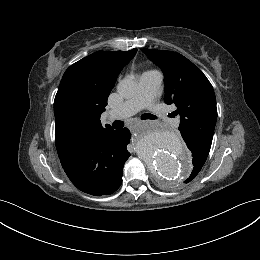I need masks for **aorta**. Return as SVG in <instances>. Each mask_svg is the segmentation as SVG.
<instances>
[{
	"label": "aorta",
	"instance_id": "1",
	"mask_svg": "<svg viewBox=\"0 0 260 260\" xmlns=\"http://www.w3.org/2000/svg\"><path fill=\"white\" fill-rule=\"evenodd\" d=\"M117 91L123 97L131 98L138 91V83L132 78H124L118 83ZM139 134L137 150L156 177L174 181L187 176L191 168L190 156L174 132L161 124L144 123Z\"/></svg>",
	"mask_w": 260,
	"mask_h": 260
}]
</instances>
